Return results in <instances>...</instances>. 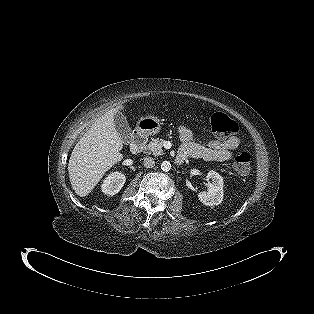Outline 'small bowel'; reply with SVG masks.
<instances>
[{
  "mask_svg": "<svg viewBox=\"0 0 314 314\" xmlns=\"http://www.w3.org/2000/svg\"><path fill=\"white\" fill-rule=\"evenodd\" d=\"M177 132L183 142L178 156L184 159L195 158L206 161H229L240 144V139L237 136H231L226 139H215L205 143L196 142L193 132L185 125H179Z\"/></svg>",
  "mask_w": 314,
  "mask_h": 314,
  "instance_id": "small-bowel-1",
  "label": "small bowel"
}]
</instances>
